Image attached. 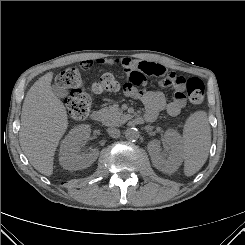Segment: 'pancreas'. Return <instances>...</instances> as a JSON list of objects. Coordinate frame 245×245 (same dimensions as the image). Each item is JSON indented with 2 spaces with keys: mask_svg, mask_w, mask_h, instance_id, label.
I'll return each mask as SVG.
<instances>
[{
  "mask_svg": "<svg viewBox=\"0 0 245 245\" xmlns=\"http://www.w3.org/2000/svg\"><path fill=\"white\" fill-rule=\"evenodd\" d=\"M102 123L106 126H118L125 122L126 116L117 105L102 108L100 110Z\"/></svg>",
  "mask_w": 245,
  "mask_h": 245,
  "instance_id": "cf45deb5",
  "label": "pancreas"
}]
</instances>
